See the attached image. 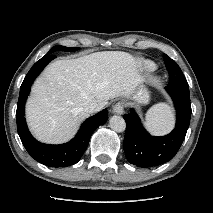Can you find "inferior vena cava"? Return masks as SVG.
<instances>
[{"label":"inferior vena cava","mask_w":213,"mask_h":213,"mask_svg":"<svg viewBox=\"0 0 213 213\" xmlns=\"http://www.w3.org/2000/svg\"><path fill=\"white\" fill-rule=\"evenodd\" d=\"M101 110V107L98 103H90L86 108L85 111L88 113H94Z\"/></svg>","instance_id":"1"}]
</instances>
